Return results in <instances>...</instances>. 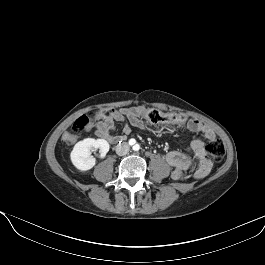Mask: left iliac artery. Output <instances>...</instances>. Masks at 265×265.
I'll list each match as a JSON object with an SVG mask.
<instances>
[{
  "label": "left iliac artery",
  "instance_id": "44dca946",
  "mask_svg": "<svg viewBox=\"0 0 265 265\" xmlns=\"http://www.w3.org/2000/svg\"><path fill=\"white\" fill-rule=\"evenodd\" d=\"M140 149V146L138 145V144H136L135 146H134V150H139Z\"/></svg>",
  "mask_w": 265,
  "mask_h": 265
}]
</instances>
